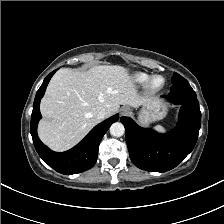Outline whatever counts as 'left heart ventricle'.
Here are the masks:
<instances>
[{
    "mask_svg": "<svg viewBox=\"0 0 224 224\" xmlns=\"http://www.w3.org/2000/svg\"><path fill=\"white\" fill-rule=\"evenodd\" d=\"M162 82H163L162 78L158 77L154 80L153 84L155 86H160L162 84Z\"/></svg>",
    "mask_w": 224,
    "mask_h": 224,
    "instance_id": "obj_1",
    "label": "left heart ventricle"
}]
</instances>
